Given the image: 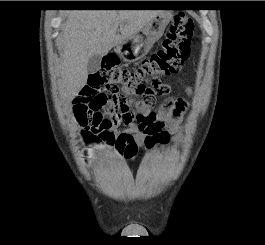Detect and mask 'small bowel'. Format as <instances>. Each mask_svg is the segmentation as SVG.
<instances>
[{
	"instance_id": "small-bowel-1",
	"label": "small bowel",
	"mask_w": 265,
	"mask_h": 245,
	"mask_svg": "<svg viewBox=\"0 0 265 245\" xmlns=\"http://www.w3.org/2000/svg\"><path fill=\"white\" fill-rule=\"evenodd\" d=\"M165 87V86H164ZM187 92L190 93V88H187ZM100 95L91 86H84L79 95L74 101V109L76 116L82 119L83 116L87 115L91 111L92 105L96 104L99 100ZM138 111H144V104H139L136 106ZM185 110L184 103L179 99H169L164 102V104L154 112L158 119L164 121L168 128L174 134V144L179 145L182 142V137L179 130V124ZM119 124H112L110 126L101 127L102 131H106L112 134L114 141L116 143H121L126 150H128L127 158H131L137 152V143L144 140L143 134L139 132V128L135 123H130L128 125H123L125 128L123 130H117ZM100 145H107L105 139H100L96 142ZM83 154L88 157L89 154L87 150L83 149Z\"/></svg>"
}]
</instances>
